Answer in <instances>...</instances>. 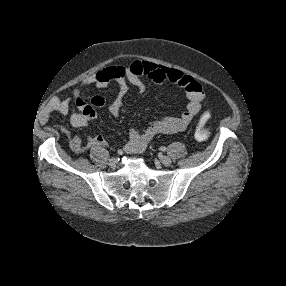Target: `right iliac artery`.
<instances>
[{
  "label": "right iliac artery",
  "instance_id": "1",
  "mask_svg": "<svg viewBox=\"0 0 286 286\" xmlns=\"http://www.w3.org/2000/svg\"><path fill=\"white\" fill-rule=\"evenodd\" d=\"M117 153H118L119 156H122L124 152H123V150L120 149V150H118Z\"/></svg>",
  "mask_w": 286,
  "mask_h": 286
}]
</instances>
